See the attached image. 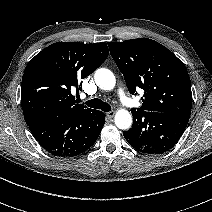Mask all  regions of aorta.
I'll return each mask as SVG.
<instances>
[{
  "label": "aorta",
  "instance_id": "762f6f07",
  "mask_svg": "<svg viewBox=\"0 0 212 212\" xmlns=\"http://www.w3.org/2000/svg\"><path fill=\"white\" fill-rule=\"evenodd\" d=\"M94 79L96 85L103 90H112L116 85L114 74L106 68H100L95 71ZM115 125L122 130H127L132 125V116L126 109H120L115 115Z\"/></svg>",
  "mask_w": 212,
  "mask_h": 212
}]
</instances>
